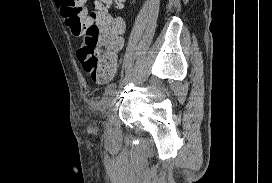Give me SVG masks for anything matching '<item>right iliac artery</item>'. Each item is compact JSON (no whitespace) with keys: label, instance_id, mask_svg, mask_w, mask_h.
Here are the masks:
<instances>
[{"label":"right iliac artery","instance_id":"obj_1","mask_svg":"<svg viewBox=\"0 0 272 183\" xmlns=\"http://www.w3.org/2000/svg\"><path fill=\"white\" fill-rule=\"evenodd\" d=\"M115 88H116L115 83L109 84L105 89V94L104 95H108V94L112 93L115 90Z\"/></svg>","mask_w":272,"mask_h":183}]
</instances>
